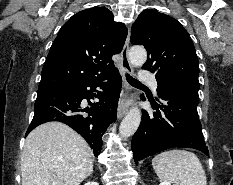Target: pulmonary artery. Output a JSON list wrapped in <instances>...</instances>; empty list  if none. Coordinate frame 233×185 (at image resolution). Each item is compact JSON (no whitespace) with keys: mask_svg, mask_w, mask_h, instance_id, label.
<instances>
[{"mask_svg":"<svg viewBox=\"0 0 233 185\" xmlns=\"http://www.w3.org/2000/svg\"><path fill=\"white\" fill-rule=\"evenodd\" d=\"M141 79H142L144 82L148 83V84L152 87V89H153L154 91L157 90L158 83H157V80H156V78H155L154 75L149 74V73H147V72H143V73L141 74Z\"/></svg>","mask_w":233,"mask_h":185,"instance_id":"obj_1","label":"pulmonary artery"}]
</instances>
